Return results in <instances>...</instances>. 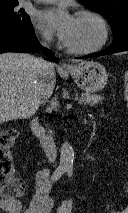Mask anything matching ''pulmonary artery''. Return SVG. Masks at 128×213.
<instances>
[{
    "label": "pulmonary artery",
    "instance_id": "pulmonary-artery-1",
    "mask_svg": "<svg viewBox=\"0 0 128 213\" xmlns=\"http://www.w3.org/2000/svg\"><path fill=\"white\" fill-rule=\"evenodd\" d=\"M36 2H40V3H51V2H55L57 0H35Z\"/></svg>",
    "mask_w": 128,
    "mask_h": 213
}]
</instances>
